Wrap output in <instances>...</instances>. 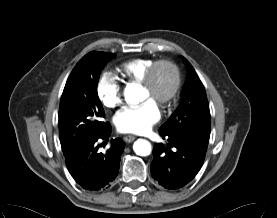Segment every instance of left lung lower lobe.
Instances as JSON below:
<instances>
[{
    "instance_id": "left-lung-lower-lobe-1",
    "label": "left lung lower lobe",
    "mask_w": 277,
    "mask_h": 218,
    "mask_svg": "<svg viewBox=\"0 0 277 218\" xmlns=\"http://www.w3.org/2000/svg\"><path fill=\"white\" fill-rule=\"evenodd\" d=\"M167 146L155 144L152 177L167 189L189 183L203 165L210 133L182 130L159 131Z\"/></svg>"
}]
</instances>
